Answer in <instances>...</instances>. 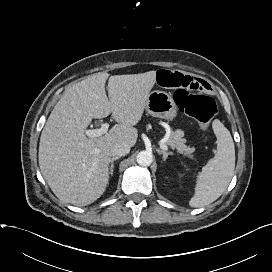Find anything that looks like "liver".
Returning a JSON list of instances; mask_svg holds the SVG:
<instances>
[{
	"label": "liver",
	"mask_w": 272,
	"mask_h": 272,
	"mask_svg": "<svg viewBox=\"0 0 272 272\" xmlns=\"http://www.w3.org/2000/svg\"><path fill=\"white\" fill-rule=\"evenodd\" d=\"M108 77L99 72L68 87L42 130L40 170L53 193L65 203L89 205L105 192L111 148L117 143L136 144L134 126L142 118L156 71ZM111 113L118 124L104 136L86 137L93 118Z\"/></svg>",
	"instance_id": "liver-1"
}]
</instances>
